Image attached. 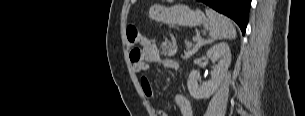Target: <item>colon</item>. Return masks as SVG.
Wrapping results in <instances>:
<instances>
[{
    "instance_id": "colon-1",
    "label": "colon",
    "mask_w": 305,
    "mask_h": 116,
    "mask_svg": "<svg viewBox=\"0 0 305 116\" xmlns=\"http://www.w3.org/2000/svg\"><path fill=\"white\" fill-rule=\"evenodd\" d=\"M127 46L131 49L130 54L133 56L138 55V49L134 48L136 44H145L149 38L140 33V31L133 25H129L126 29Z\"/></svg>"
}]
</instances>
